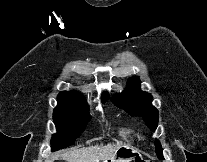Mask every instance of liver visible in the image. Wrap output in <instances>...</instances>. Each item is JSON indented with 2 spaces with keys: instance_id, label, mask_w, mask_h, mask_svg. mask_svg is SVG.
<instances>
[{
  "instance_id": "1",
  "label": "liver",
  "mask_w": 207,
  "mask_h": 162,
  "mask_svg": "<svg viewBox=\"0 0 207 162\" xmlns=\"http://www.w3.org/2000/svg\"><path fill=\"white\" fill-rule=\"evenodd\" d=\"M120 147H122V145L119 144L89 146L67 151L61 155L55 154L46 162H53L57 160L59 156L67 162H105L106 160L112 159Z\"/></svg>"
}]
</instances>
